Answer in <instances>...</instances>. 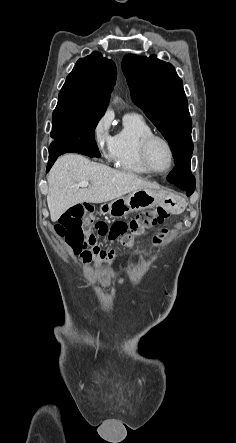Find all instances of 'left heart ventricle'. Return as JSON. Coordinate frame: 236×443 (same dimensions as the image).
<instances>
[{
  "instance_id": "left-heart-ventricle-1",
  "label": "left heart ventricle",
  "mask_w": 236,
  "mask_h": 443,
  "mask_svg": "<svg viewBox=\"0 0 236 443\" xmlns=\"http://www.w3.org/2000/svg\"><path fill=\"white\" fill-rule=\"evenodd\" d=\"M150 161L159 171L165 170L170 163V153L167 146L161 141H155L150 148Z\"/></svg>"
}]
</instances>
